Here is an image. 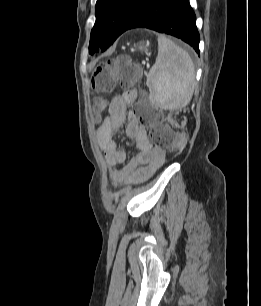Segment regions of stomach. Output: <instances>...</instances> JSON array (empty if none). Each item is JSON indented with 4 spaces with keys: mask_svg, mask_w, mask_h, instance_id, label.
Masks as SVG:
<instances>
[{
    "mask_svg": "<svg viewBox=\"0 0 261 306\" xmlns=\"http://www.w3.org/2000/svg\"><path fill=\"white\" fill-rule=\"evenodd\" d=\"M135 49L140 51V52H147L148 51V44L145 43V42H140L139 44L136 45Z\"/></svg>",
    "mask_w": 261,
    "mask_h": 306,
    "instance_id": "stomach-1",
    "label": "stomach"
}]
</instances>
